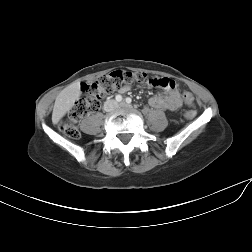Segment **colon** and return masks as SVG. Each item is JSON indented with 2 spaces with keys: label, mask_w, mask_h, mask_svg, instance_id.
Listing matches in <instances>:
<instances>
[{
  "label": "colon",
  "mask_w": 252,
  "mask_h": 252,
  "mask_svg": "<svg viewBox=\"0 0 252 252\" xmlns=\"http://www.w3.org/2000/svg\"><path fill=\"white\" fill-rule=\"evenodd\" d=\"M151 79L142 72L114 71L101 76L96 81L87 84L83 88V96L74 104L68 116L59 122L60 131L70 138H78L80 135L76 123L84 116L96 112L101 106L102 99L115 92L125 91L133 84L151 85ZM183 100L191 108L185 113L187 119H192L196 111L192 108L193 96L184 92Z\"/></svg>",
  "instance_id": "1"
}]
</instances>
